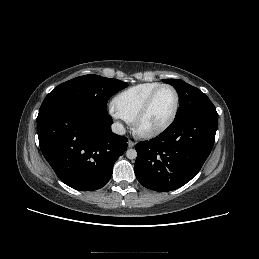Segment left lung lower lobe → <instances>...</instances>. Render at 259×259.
I'll return each instance as SVG.
<instances>
[{"label": "left lung lower lobe", "instance_id": "1", "mask_svg": "<svg viewBox=\"0 0 259 259\" xmlns=\"http://www.w3.org/2000/svg\"><path fill=\"white\" fill-rule=\"evenodd\" d=\"M218 114L192 113L149 142L136 144L135 175L146 188L167 192L189 182L201 169L215 141Z\"/></svg>", "mask_w": 259, "mask_h": 259}]
</instances>
